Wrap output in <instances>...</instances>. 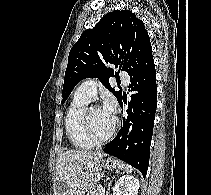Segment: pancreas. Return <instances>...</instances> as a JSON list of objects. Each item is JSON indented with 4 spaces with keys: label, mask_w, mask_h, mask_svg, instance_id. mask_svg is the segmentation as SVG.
<instances>
[{
    "label": "pancreas",
    "mask_w": 211,
    "mask_h": 195,
    "mask_svg": "<svg viewBox=\"0 0 211 195\" xmlns=\"http://www.w3.org/2000/svg\"><path fill=\"white\" fill-rule=\"evenodd\" d=\"M99 190H100V188H97L96 190H92V191L88 192L87 195H99Z\"/></svg>",
    "instance_id": "1"
}]
</instances>
